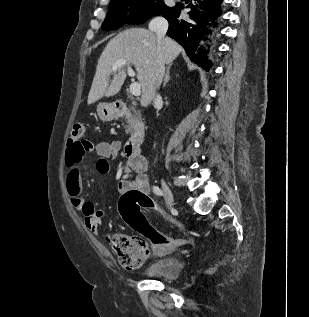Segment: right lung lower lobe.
<instances>
[{
  "instance_id": "1",
  "label": "right lung lower lobe",
  "mask_w": 309,
  "mask_h": 317,
  "mask_svg": "<svg viewBox=\"0 0 309 317\" xmlns=\"http://www.w3.org/2000/svg\"><path fill=\"white\" fill-rule=\"evenodd\" d=\"M222 0H192L186 8H190L187 12L189 18L178 20L182 5L177 4L173 8H169L163 15L169 22L167 35L175 39L183 46L190 59L197 62L198 65L205 70L212 67V63L207 60L206 52L202 47L198 48V43L204 34L207 26L215 25L213 22L221 14L219 4ZM199 53V54H198Z\"/></svg>"
}]
</instances>
